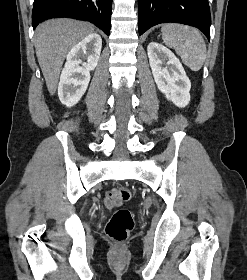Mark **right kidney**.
Here are the masks:
<instances>
[{
	"label": "right kidney",
	"instance_id": "ca27d5eb",
	"mask_svg": "<svg viewBox=\"0 0 247 280\" xmlns=\"http://www.w3.org/2000/svg\"><path fill=\"white\" fill-rule=\"evenodd\" d=\"M102 39L92 33L77 43L68 53L60 76L58 96L62 104L74 106L87 90L90 71L98 64ZM86 59V62L82 60Z\"/></svg>",
	"mask_w": 247,
	"mask_h": 280
}]
</instances>
